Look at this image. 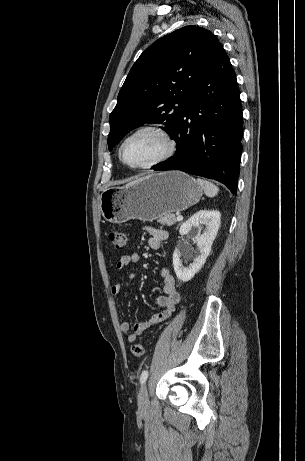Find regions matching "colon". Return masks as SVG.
<instances>
[{
    "instance_id": "1",
    "label": "colon",
    "mask_w": 305,
    "mask_h": 461,
    "mask_svg": "<svg viewBox=\"0 0 305 461\" xmlns=\"http://www.w3.org/2000/svg\"><path fill=\"white\" fill-rule=\"evenodd\" d=\"M109 240L116 251H123L127 244V235L124 232L111 230L108 234ZM132 355L135 358H140L144 354V349L141 344H134L131 347Z\"/></svg>"
}]
</instances>
